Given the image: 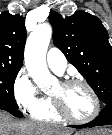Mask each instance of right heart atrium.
Masks as SVG:
<instances>
[{"instance_id": "1", "label": "right heart atrium", "mask_w": 112, "mask_h": 135, "mask_svg": "<svg viewBox=\"0 0 112 135\" xmlns=\"http://www.w3.org/2000/svg\"><path fill=\"white\" fill-rule=\"evenodd\" d=\"M13 94L17 105L30 114L41 109L48 101V98L23 71L19 72L14 80Z\"/></svg>"}]
</instances>
